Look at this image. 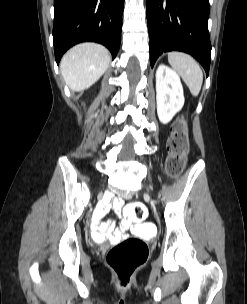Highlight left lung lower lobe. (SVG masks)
Instances as JSON below:
<instances>
[{
    "label": "left lung lower lobe",
    "instance_id": "obj_1",
    "mask_svg": "<svg viewBox=\"0 0 247 304\" xmlns=\"http://www.w3.org/2000/svg\"><path fill=\"white\" fill-rule=\"evenodd\" d=\"M150 64L167 51L194 56L209 74V0H147Z\"/></svg>",
    "mask_w": 247,
    "mask_h": 304
}]
</instances>
